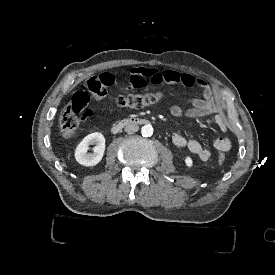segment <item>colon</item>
Returning <instances> with one entry per match:
<instances>
[{"instance_id": "5ec220e1", "label": "colon", "mask_w": 275, "mask_h": 275, "mask_svg": "<svg viewBox=\"0 0 275 275\" xmlns=\"http://www.w3.org/2000/svg\"><path fill=\"white\" fill-rule=\"evenodd\" d=\"M86 87L98 99H105L108 87L105 86L98 77H87L85 80ZM88 92L78 90L70 99L67 106L60 114L59 131L64 137H75L79 134L81 124L93 115V110L88 106L90 99L87 97ZM160 100L159 93L129 95L119 97L116 103L123 108H138L153 105ZM218 164L224 165L228 158L226 155L218 153L215 156Z\"/></svg>"}]
</instances>
